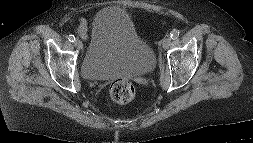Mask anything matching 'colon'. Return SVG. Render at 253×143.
<instances>
[{
  "instance_id": "colon-1",
  "label": "colon",
  "mask_w": 253,
  "mask_h": 143,
  "mask_svg": "<svg viewBox=\"0 0 253 143\" xmlns=\"http://www.w3.org/2000/svg\"><path fill=\"white\" fill-rule=\"evenodd\" d=\"M110 95L117 103H129L135 97V87L127 79H117L110 86Z\"/></svg>"
}]
</instances>
